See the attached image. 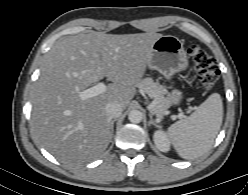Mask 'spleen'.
I'll use <instances>...</instances> for the list:
<instances>
[{
	"label": "spleen",
	"instance_id": "spleen-1",
	"mask_svg": "<svg viewBox=\"0 0 248 195\" xmlns=\"http://www.w3.org/2000/svg\"><path fill=\"white\" fill-rule=\"evenodd\" d=\"M222 120V99L213 93L189 117L172 124L167 135L180 157L195 159L211 149Z\"/></svg>",
	"mask_w": 248,
	"mask_h": 195
}]
</instances>
